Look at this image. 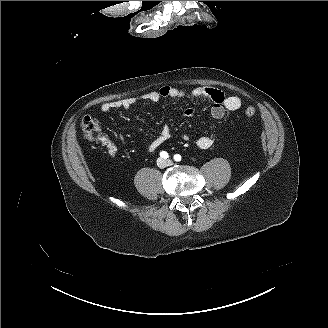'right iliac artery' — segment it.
Instances as JSON below:
<instances>
[{"instance_id":"1","label":"right iliac artery","mask_w":328,"mask_h":328,"mask_svg":"<svg viewBox=\"0 0 328 328\" xmlns=\"http://www.w3.org/2000/svg\"><path fill=\"white\" fill-rule=\"evenodd\" d=\"M160 156H161L162 158H164V159H167V158L169 157L168 153L165 152V151H162V152L160 153Z\"/></svg>"}]
</instances>
